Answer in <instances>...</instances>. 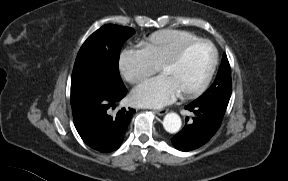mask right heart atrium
<instances>
[{
  "mask_svg": "<svg viewBox=\"0 0 288 181\" xmlns=\"http://www.w3.org/2000/svg\"><path fill=\"white\" fill-rule=\"evenodd\" d=\"M122 76L132 84H138L150 77L157 69L140 47L124 48L118 60Z\"/></svg>",
  "mask_w": 288,
  "mask_h": 181,
  "instance_id": "1",
  "label": "right heart atrium"
}]
</instances>
